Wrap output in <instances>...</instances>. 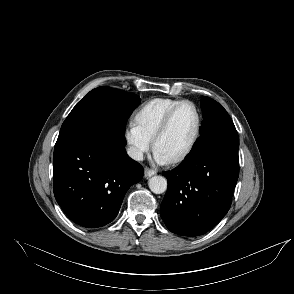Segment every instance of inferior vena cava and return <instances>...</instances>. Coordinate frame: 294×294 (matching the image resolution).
Returning a JSON list of instances; mask_svg holds the SVG:
<instances>
[{
    "label": "inferior vena cava",
    "instance_id": "obj_1",
    "mask_svg": "<svg viewBox=\"0 0 294 294\" xmlns=\"http://www.w3.org/2000/svg\"><path fill=\"white\" fill-rule=\"evenodd\" d=\"M127 154L130 158L134 160H137V161L143 160V152L136 147H133V146L129 147L127 149Z\"/></svg>",
    "mask_w": 294,
    "mask_h": 294
}]
</instances>
